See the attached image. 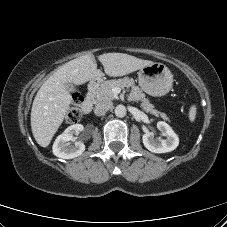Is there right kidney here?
Masks as SVG:
<instances>
[{"mask_svg":"<svg viewBox=\"0 0 227 227\" xmlns=\"http://www.w3.org/2000/svg\"><path fill=\"white\" fill-rule=\"evenodd\" d=\"M84 129L81 124H74L69 126L62 134H60L53 144V154L62 159H72L80 156L85 151V145L81 141L74 142L78 135Z\"/></svg>","mask_w":227,"mask_h":227,"instance_id":"ca27d5eb","label":"right kidney"}]
</instances>
